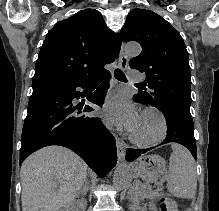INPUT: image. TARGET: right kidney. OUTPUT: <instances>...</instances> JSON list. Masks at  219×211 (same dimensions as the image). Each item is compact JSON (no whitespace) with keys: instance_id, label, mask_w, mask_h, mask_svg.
I'll list each match as a JSON object with an SVG mask.
<instances>
[{"instance_id":"1","label":"right kidney","mask_w":219,"mask_h":211,"mask_svg":"<svg viewBox=\"0 0 219 211\" xmlns=\"http://www.w3.org/2000/svg\"><path fill=\"white\" fill-rule=\"evenodd\" d=\"M64 211H71V205L70 207H67V209H64Z\"/></svg>"}]
</instances>
